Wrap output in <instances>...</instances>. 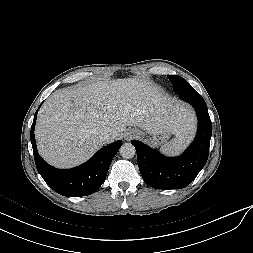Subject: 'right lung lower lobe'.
Instances as JSON below:
<instances>
[{"instance_id": "98d812e1", "label": "right lung lower lobe", "mask_w": 253, "mask_h": 253, "mask_svg": "<svg viewBox=\"0 0 253 253\" xmlns=\"http://www.w3.org/2000/svg\"><path fill=\"white\" fill-rule=\"evenodd\" d=\"M35 113L30 131L36 168L44 181L63 196L80 197L96 192L104 183L112 159L122 142L117 141L100 149L90 160L73 169H57L47 164L37 152L34 128L37 118Z\"/></svg>"}]
</instances>
